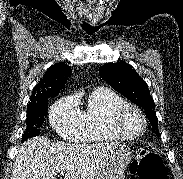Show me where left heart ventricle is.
<instances>
[{"label": "left heart ventricle", "instance_id": "b2bd125f", "mask_svg": "<svg viewBox=\"0 0 183 179\" xmlns=\"http://www.w3.org/2000/svg\"><path fill=\"white\" fill-rule=\"evenodd\" d=\"M121 126L128 133H136L142 128V120L135 111L127 110L121 118Z\"/></svg>", "mask_w": 183, "mask_h": 179}]
</instances>
